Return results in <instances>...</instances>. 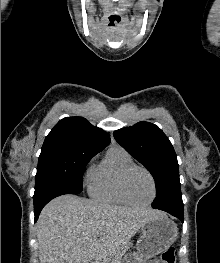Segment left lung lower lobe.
Wrapping results in <instances>:
<instances>
[{
	"label": "left lung lower lobe",
	"instance_id": "obj_1",
	"mask_svg": "<svg viewBox=\"0 0 220 263\" xmlns=\"http://www.w3.org/2000/svg\"><path fill=\"white\" fill-rule=\"evenodd\" d=\"M166 212H168L171 215L179 218L183 222V211L167 210Z\"/></svg>",
	"mask_w": 220,
	"mask_h": 263
}]
</instances>
